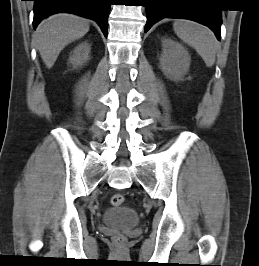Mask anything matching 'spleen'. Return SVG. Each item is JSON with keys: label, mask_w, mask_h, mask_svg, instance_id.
<instances>
[{"label": "spleen", "mask_w": 259, "mask_h": 266, "mask_svg": "<svg viewBox=\"0 0 259 266\" xmlns=\"http://www.w3.org/2000/svg\"><path fill=\"white\" fill-rule=\"evenodd\" d=\"M173 29L184 43L197 51L207 67L214 65L217 42L213 32L208 27L193 21L181 19L173 23Z\"/></svg>", "instance_id": "3e777b00"}]
</instances>
